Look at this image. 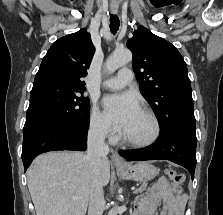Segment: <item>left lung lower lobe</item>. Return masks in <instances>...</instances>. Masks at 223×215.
Instances as JSON below:
<instances>
[{"label":"left lung lower lobe","mask_w":223,"mask_h":215,"mask_svg":"<svg viewBox=\"0 0 223 215\" xmlns=\"http://www.w3.org/2000/svg\"><path fill=\"white\" fill-rule=\"evenodd\" d=\"M195 129L176 128L160 133L149 147L136 150H120L119 154L128 161L170 160L185 167L194 179L196 167Z\"/></svg>","instance_id":"0a47b994"}]
</instances>
